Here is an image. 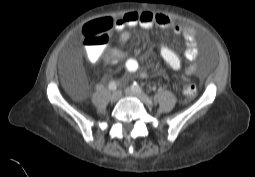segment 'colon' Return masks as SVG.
<instances>
[{
  "instance_id": "1",
  "label": "colon",
  "mask_w": 255,
  "mask_h": 177,
  "mask_svg": "<svg viewBox=\"0 0 255 177\" xmlns=\"http://www.w3.org/2000/svg\"><path fill=\"white\" fill-rule=\"evenodd\" d=\"M111 23L105 18L88 22L83 27L84 43L91 46H104L109 43ZM196 94V86L189 84L185 88V95L188 98H193Z\"/></svg>"
}]
</instances>
